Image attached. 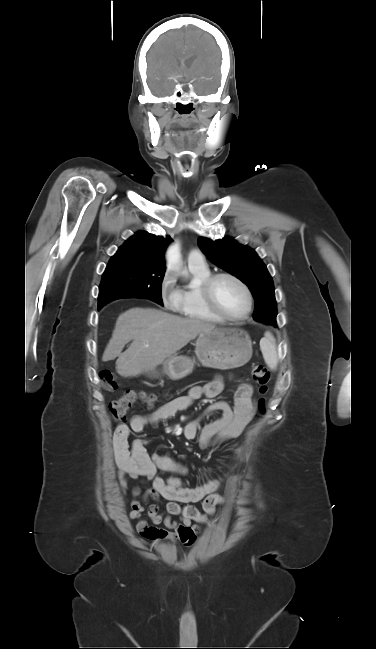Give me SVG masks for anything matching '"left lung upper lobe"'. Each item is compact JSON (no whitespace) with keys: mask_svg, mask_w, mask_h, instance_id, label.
Wrapping results in <instances>:
<instances>
[{"mask_svg":"<svg viewBox=\"0 0 376 649\" xmlns=\"http://www.w3.org/2000/svg\"><path fill=\"white\" fill-rule=\"evenodd\" d=\"M198 245L207 258L245 283L255 299L253 318L256 321L276 325V301L273 280L256 252L238 244L232 238L212 241L198 239Z\"/></svg>","mask_w":376,"mask_h":649,"instance_id":"1","label":"left lung upper lobe"}]
</instances>
